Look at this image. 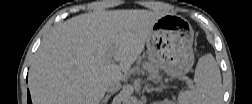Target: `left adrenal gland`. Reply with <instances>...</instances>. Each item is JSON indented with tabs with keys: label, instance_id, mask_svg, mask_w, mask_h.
Returning <instances> with one entry per match:
<instances>
[{
	"label": "left adrenal gland",
	"instance_id": "1",
	"mask_svg": "<svg viewBox=\"0 0 252 104\" xmlns=\"http://www.w3.org/2000/svg\"><path fill=\"white\" fill-rule=\"evenodd\" d=\"M145 88L148 93H151L152 91H162L161 87H153L148 84L145 86Z\"/></svg>",
	"mask_w": 252,
	"mask_h": 104
}]
</instances>
